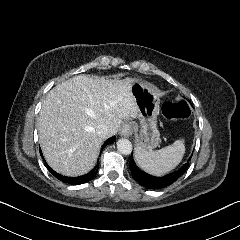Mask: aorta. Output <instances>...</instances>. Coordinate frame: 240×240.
Returning <instances> with one entry per match:
<instances>
[{
	"mask_svg": "<svg viewBox=\"0 0 240 240\" xmlns=\"http://www.w3.org/2000/svg\"><path fill=\"white\" fill-rule=\"evenodd\" d=\"M117 149L121 154H129L132 150V144L127 138L117 140Z\"/></svg>",
	"mask_w": 240,
	"mask_h": 240,
	"instance_id": "762f6f07",
	"label": "aorta"
}]
</instances>
